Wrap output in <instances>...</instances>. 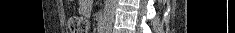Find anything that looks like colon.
<instances>
[{
  "label": "colon",
  "instance_id": "colon-1",
  "mask_svg": "<svg viewBox=\"0 0 235 33\" xmlns=\"http://www.w3.org/2000/svg\"><path fill=\"white\" fill-rule=\"evenodd\" d=\"M71 33H88L89 25L83 17H73L69 21Z\"/></svg>",
  "mask_w": 235,
  "mask_h": 33
}]
</instances>
